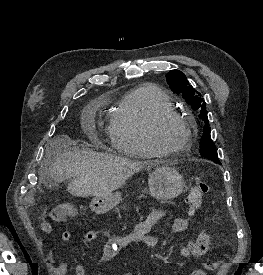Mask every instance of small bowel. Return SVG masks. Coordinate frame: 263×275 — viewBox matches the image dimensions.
Returning a JSON list of instances; mask_svg holds the SVG:
<instances>
[{
  "instance_id": "1",
  "label": "small bowel",
  "mask_w": 263,
  "mask_h": 275,
  "mask_svg": "<svg viewBox=\"0 0 263 275\" xmlns=\"http://www.w3.org/2000/svg\"><path fill=\"white\" fill-rule=\"evenodd\" d=\"M166 217V212L163 210H156L152 212L144 221L138 223L130 234L118 236L109 239L103 246L102 249V262L112 261L118 252L128 246L131 243H144L148 247L155 248L157 246V239L150 235L151 229L162 221ZM190 220L184 217H176L172 223V230L174 232H183L190 227ZM41 230L54 238V231L52 226L43 222L40 225ZM99 235L96 231H88L84 234L83 239L85 242L97 241ZM61 240L64 242H69L72 240V234L69 231H64L61 234ZM42 246V243H41ZM70 264L67 262L56 264L52 261L48 263V268L53 275H67ZM183 263H179V267H182ZM75 275H86L85 268L82 264L77 263L74 267ZM131 275V274H126Z\"/></svg>"
}]
</instances>
